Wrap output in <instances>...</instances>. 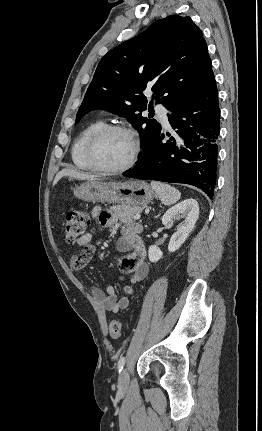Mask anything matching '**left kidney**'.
Returning <instances> with one entry per match:
<instances>
[{"instance_id":"obj_1","label":"left kidney","mask_w":262,"mask_h":431,"mask_svg":"<svg viewBox=\"0 0 262 431\" xmlns=\"http://www.w3.org/2000/svg\"><path fill=\"white\" fill-rule=\"evenodd\" d=\"M198 217L199 205L194 199L184 200L167 210L162 217L163 225L169 227L173 221L183 219L177 231L170 238L169 252H175L181 247L195 227ZM148 256L150 262L155 263L162 258L163 252L156 245H152L149 247Z\"/></svg>"}]
</instances>
